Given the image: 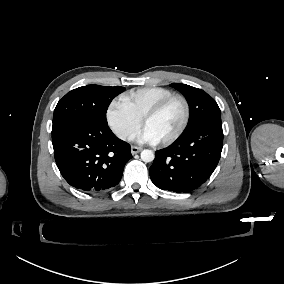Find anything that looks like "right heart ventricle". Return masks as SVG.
<instances>
[{
  "instance_id": "obj_1",
  "label": "right heart ventricle",
  "mask_w": 284,
  "mask_h": 284,
  "mask_svg": "<svg viewBox=\"0 0 284 284\" xmlns=\"http://www.w3.org/2000/svg\"><path fill=\"white\" fill-rule=\"evenodd\" d=\"M173 94L172 90L165 87L145 86L122 94L119 101L122 106L142 119L148 110Z\"/></svg>"
}]
</instances>
